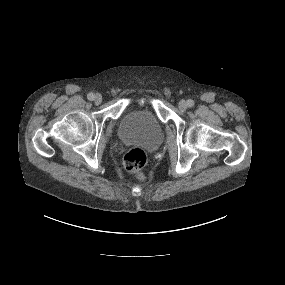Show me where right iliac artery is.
Instances as JSON below:
<instances>
[{
    "label": "right iliac artery",
    "instance_id": "obj_1",
    "mask_svg": "<svg viewBox=\"0 0 285 285\" xmlns=\"http://www.w3.org/2000/svg\"><path fill=\"white\" fill-rule=\"evenodd\" d=\"M94 94L93 93H89L88 95H87V98L89 99V100H94Z\"/></svg>",
    "mask_w": 285,
    "mask_h": 285
}]
</instances>
